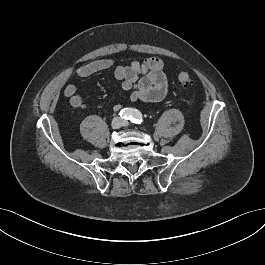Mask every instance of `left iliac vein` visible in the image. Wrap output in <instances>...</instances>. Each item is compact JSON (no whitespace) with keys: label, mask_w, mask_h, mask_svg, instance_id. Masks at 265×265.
Instances as JSON below:
<instances>
[{"label":"left iliac vein","mask_w":265,"mask_h":265,"mask_svg":"<svg viewBox=\"0 0 265 265\" xmlns=\"http://www.w3.org/2000/svg\"><path fill=\"white\" fill-rule=\"evenodd\" d=\"M122 126L128 127L129 126V123L127 121H122Z\"/></svg>","instance_id":"obj_1"}]
</instances>
